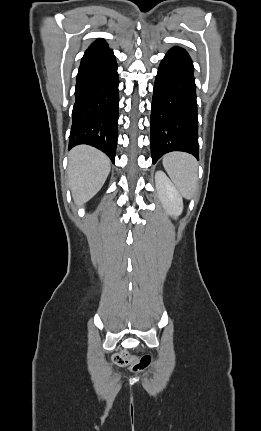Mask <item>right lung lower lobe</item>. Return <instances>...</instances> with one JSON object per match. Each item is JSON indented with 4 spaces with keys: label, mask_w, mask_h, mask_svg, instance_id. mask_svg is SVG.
I'll list each match as a JSON object with an SVG mask.
<instances>
[{
    "label": "right lung lower lobe",
    "mask_w": 261,
    "mask_h": 431,
    "mask_svg": "<svg viewBox=\"0 0 261 431\" xmlns=\"http://www.w3.org/2000/svg\"><path fill=\"white\" fill-rule=\"evenodd\" d=\"M119 80L117 63L109 47L86 50L75 87L69 149L88 144L114 163L118 139Z\"/></svg>",
    "instance_id": "98d812e1"
}]
</instances>
